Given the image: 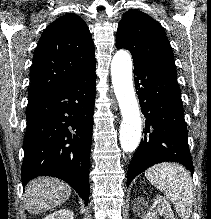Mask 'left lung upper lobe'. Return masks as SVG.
<instances>
[{"instance_id": "left-lung-upper-lobe-1", "label": "left lung upper lobe", "mask_w": 211, "mask_h": 219, "mask_svg": "<svg viewBox=\"0 0 211 219\" xmlns=\"http://www.w3.org/2000/svg\"><path fill=\"white\" fill-rule=\"evenodd\" d=\"M116 46L128 49L134 61L175 66L164 29L141 11L129 10L123 14L118 24Z\"/></svg>"}]
</instances>
